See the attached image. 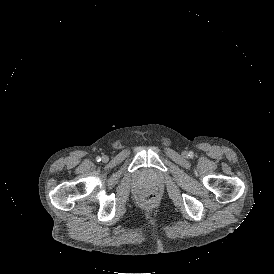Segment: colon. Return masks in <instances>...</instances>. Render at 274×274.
Instances as JSON below:
<instances>
[{
    "label": "colon",
    "instance_id": "colon-1",
    "mask_svg": "<svg viewBox=\"0 0 274 274\" xmlns=\"http://www.w3.org/2000/svg\"><path fill=\"white\" fill-rule=\"evenodd\" d=\"M159 194L156 191H149L148 193H142L139 196V203L142 206H148V207H155L158 204L159 201Z\"/></svg>",
    "mask_w": 274,
    "mask_h": 274
}]
</instances>
